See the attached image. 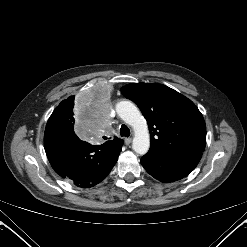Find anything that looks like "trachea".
I'll use <instances>...</instances> for the list:
<instances>
[{
    "label": "trachea",
    "instance_id": "trachea-1",
    "mask_svg": "<svg viewBox=\"0 0 247 247\" xmlns=\"http://www.w3.org/2000/svg\"><path fill=\"white\" fill-rule=\"evenodd\" d=\"M120 135L123 137H129L130 136V129L126 126V125H122L120 128ZM104 139H107L106 137H104Z\"/></svg>",
    "mask_w": 247,
    "mask_h": 247
}]
</instances>
